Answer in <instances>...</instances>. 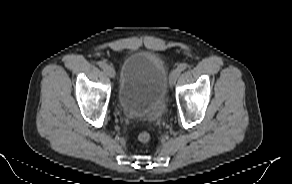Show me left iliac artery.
Instances as JSON below:
<instances>
[{
    "instance_id": "obj_1",
    "label": "left iliac artery",
    "mask_w": 292,
    "mask_h": 184,
    "mask_svg": "<svg viewBox=\"0 0 292 184\" xmlns=\"http://www.w3.org/2000/svg\"><path fill=\"white\" fill-rule=\"evenodd\" d=\"M186 68H187V64L183 63V64H180V65L177 67V70H178L179 72H181V71H184Z\"/></svg>"
}]
</instances>
